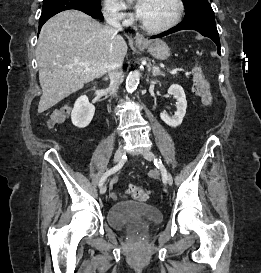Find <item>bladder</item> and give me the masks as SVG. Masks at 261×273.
<instances>
[{
  "instance_id": "31cf9c89",
  "label": "bladder",
  "mask_w": 261,
  "mask_h": 273,
  "mask_svg": "<svg viewBox=\"0 0 261 273\" xmlns=\"http://www.w3.org/2000/svg\"><path fill=\"white\" fill-rule=\"evenodd\" d=\"M109 224L122 229L133 221H143L149 225H156L162 221L161 213L154 207L132 201L114 204L107 213Z\"/></svg>"
}]
</instances>
